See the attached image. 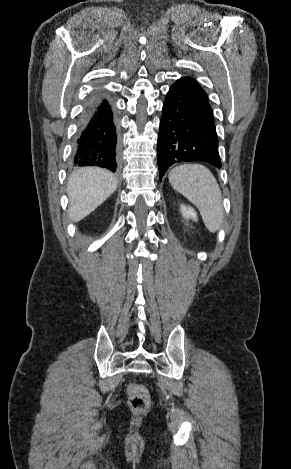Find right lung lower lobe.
Here are the masks:
<instances>
[{"label":"right lung lower lobe","instance_id":"98d812e1","mask_svg":"<svg viewBox=\"0 0 291 469\" xmlns=\"http://www.w3.org/2000/svg\"><path fill=\"white\" fill-rule=\"evenodd\" d=\"M118 122L110 103L93 96L85 106L75 138L74 167L99 166L115 172L120 157Z\"/></svg>","mask_w":291,"mask_h":469}]
</instances>
